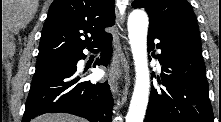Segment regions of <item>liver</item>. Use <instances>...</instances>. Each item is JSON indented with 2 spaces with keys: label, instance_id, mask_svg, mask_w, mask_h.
<instances>
[{
  "label": "liver",
  "instance_id": "6515ba94",
  "mask_svg": "<svg viewBox=\"0 0 221 122\" xmlns=\"http://www.w3.org/2000/svg\"><path fill=\"white\" fill-rule=\"evenodd\" d=\"M32 122H85L84 119L65 113L44 114Z\"/></svg>",
  "mask_w": 221,
  "mask_h": 122
}]
</instances>
